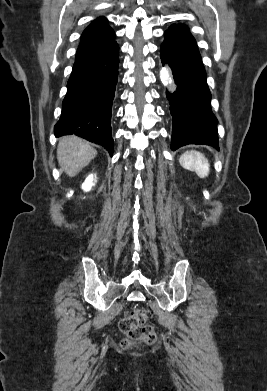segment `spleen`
Returning a JSON list of instances; mask_svg holds the SVG:
<instances>
[{"instance_id": "1", "label": "spleen", "mask_w": 267, "mask_h": 391, "mask_svg": "<svg viewBox=\"0 0 267 391\" xmlns=\"http://www.w3.org/2000/svg\"><path fill=\"white\" fill-rule=\"evenodd\" d=\"M180 164L190 171L196 172L200 178L209 175V163L203 154L197 151H188L181 155Z\"/></svg>"}]
</instances>
